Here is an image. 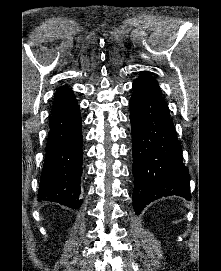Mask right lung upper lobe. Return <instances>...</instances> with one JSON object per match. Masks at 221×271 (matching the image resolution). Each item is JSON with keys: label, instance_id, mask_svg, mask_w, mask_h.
<instances>
[{"label": "right lung upper lobe", "instance_id": "1", "mask_svg": "<svg viewBox=\"0 0 221 271\" xmlns=\"http://www.w3.org/2000/svg\"><path fill=\"white\" fill-rule=\"evenodd\" d=\"M75 101L72 90L68 86H62L55 93L52 111L62 109Z\"/></svg>", "mask_w": 221, "mask_h": 271}]
</instances>
